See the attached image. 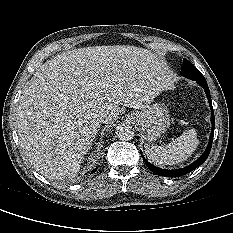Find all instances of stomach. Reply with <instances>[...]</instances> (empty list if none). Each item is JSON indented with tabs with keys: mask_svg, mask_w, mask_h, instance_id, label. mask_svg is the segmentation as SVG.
I'll return each instance as SVG.
<instances>
[{
	"mask_svg": "<svg viewBox=\"0 0 233 233\" xmlns=\"http://www.w3.org/2000/svg\"><path fill=\"white\" fill-rule=\"evenodd\" d=\"M128 117L140 126L143 137L147 141H154L159 138L170 125L168 110L163 104L159 103L133 112Z\"/></svg>",
	"mask_w": 233,
	"mask_h": 233,
	"instance_id": "0dacf381",
	"label": "stomach"
}]
</instances>
